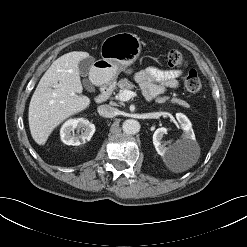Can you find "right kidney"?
Here are the masks:
<instances>
[{"label": "right kidney", "mask_w": 247, "mask_h": 247, "mask_svg": "<svg viewBox=\"0 0 247 247\" xmlns=\"http://www.w3.org/2000/svg\"><path fill=\"white\" fill-rule=\"evenodd\" d=\"M75 130H77L76 133L74 132ZM94 132V124L90 123L87 119L77 118L69 119L62 125L60 136L66 145L78 146L89 141Z\"/></svg>", "instance_id": "1"}]
</instances>
